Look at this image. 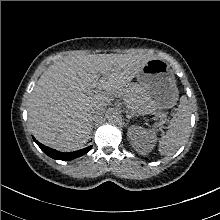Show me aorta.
<instances>
[{
    "instance_id": "obj_1",
    "label": "aorta",
    "mask_w": 220,
    "mask_h": 220,
    "mask_svg": "<svg viewBox=\"0 0 220 220\" xmlns=\"http://www.w3.org/2000/svg\"><path fill=\"white\" fill-rule=\"evenodd\" d=\"M119 118V114L115 110H111L107 113V119L111 122L116 121Z\"/></svg>"
}]
</instances>
